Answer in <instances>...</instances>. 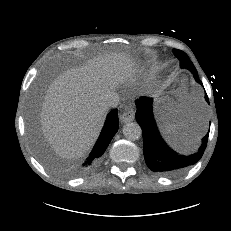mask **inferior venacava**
Masks as SVG:
<instances>
[{"label": "inferior vena cava", "instance_id": "602c4592", "mask_svg": "<svg viewBox=\"0 0 231 231\" xmlns=\"http://www.w3.org/2000/svg\"><path fill=\"white\" fill-rule=\"evenodd\" d=\"M119 103V95L116 92H111L107 96L105 105L107 108H114Z\"/></svg>", "mask_w": 231, "mask_h": 231}]
</instances>
